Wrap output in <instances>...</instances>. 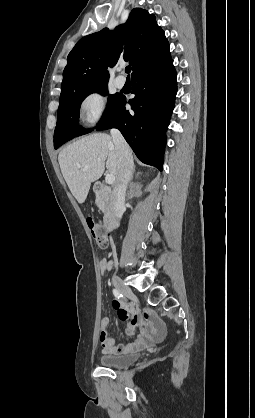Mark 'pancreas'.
Returning <instances> with one entry per match:
<instances>
[{"label":"pancreas","instance_id":"1","mask_svg":"<svg viewBox=\"0 0 255 418\" xmlns=\"http://www.w3.org/2000/svg\"><path fill=\"white\" fill-rule=\"evenodd\" d=\"M96 205L102 212H105L107 209V201L103 196L96 197Z\"/></svg>","mask_w":255,"mask_h":418}]
</instances>
